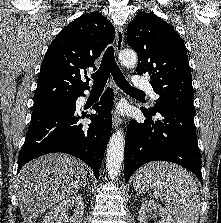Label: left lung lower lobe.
Here are the masks:
<instances>
[{"mask_svg":"<svg viewBox=\"0 0 221 223\" xmlns=\"http://www.w3.org/2000/svg\"><path fill=\"white\" fill-rule=\"evenodd\" d=\"M146 120H132L127 128L124 176L150 161H170L191 170L202 182L201 154L197 144L194 111L178 106H162L156 111L141 109ZM156 112L159 118H155Z\"/></svg>","mask_w":221,"mask_h":223,"instance_id":"1","label":"left lung lower lobe"}]
</instances>
